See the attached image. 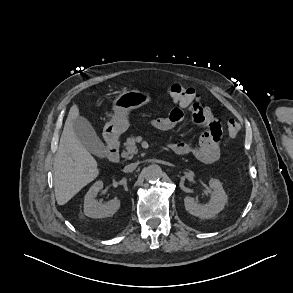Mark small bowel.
<instances>
[{
  "label": "small bowel",
  "instance_id": "c3829d8e",
  "mask_svg": "<svg viewBox=\"0 0 293 293\" xmlns=\"http://www.w3.org/2000/svg\"><path fill=\"white\" fill-rule=\"evenodd\" d=\"M184 111L193 116V122L196 125L204 126L205 131L201 134L199 143L195 147L186 141H181L171 145L169 148L179 155L193 154L203 163L209 164L215 162L220 156L219 143L222 131L220 123L211 108L202 107L199 102L190 111L182 107H176L167 117L153 119L151 125L161 131L173 129L182 122Z\"/></svg>",
  "mask_w": 293,
  "mask_h": 293
}]
</instances>
